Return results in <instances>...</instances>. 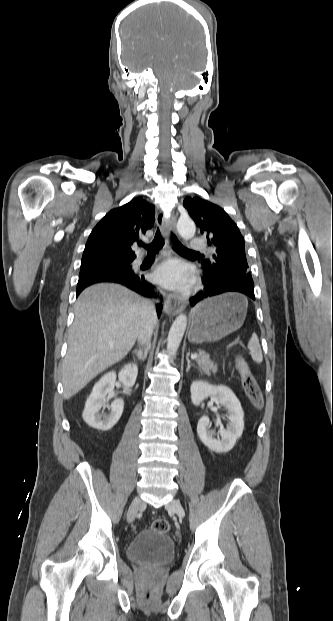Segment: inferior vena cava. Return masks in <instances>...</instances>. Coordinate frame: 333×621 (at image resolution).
I'll return each mask as SVG.
<instances>
[{
    "label": "inferior vena cava",
    "instance_id": "602c4592",
    "mask_svg": "<svg viewBox=\"0 0 333 621\" xmlns=\"http://www.w3.org/2000/svg\"><path fill=\"white\" fill-rule=\"evenodd\" d=\"M145 305L152 312V314L155 317V320H154V322H152L151 324L143 327L140 330V332L138 334V343L140 345L148 346V345H150V340H151L153 328H154L155 323H156V313H155V308H154L153 302L145 301Z\"/></svg>",
    "mask_w": 333,
    "mask_h": 621
}]
</instances>
